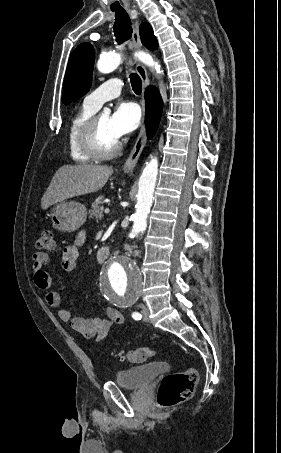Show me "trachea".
<instances>
[{
  "label": "trachea",
  "instance_id": "trachea-1",
  "mask_svg": "<svg viewBox=\"0 0 281 453\" xmlns=\"http://www.w3.org/2000/svg\"><path fill=\"white\" fill-rule=\"evenodd\" d=\"M114 34L116 41L119 45L131 38L133 29L131 26V20L127 12H116V19L114 24ZM130 81L133 91L140 95L142 91V80L136 73L130 74Z\"/></svg>",
  "mask_w": 281,
  "mask_h": 453
}]
</instances>
